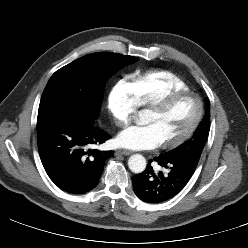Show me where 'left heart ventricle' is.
I'll return each mask as SVG.
<instances>
[{"label": "left heart ventricle", "mask_w": 248, "mask_h": 248, "mask_svg": "<svg viewBox=\"0 0 248 248\" xmlns=\"http://www.w3.org/2000/svg\"><path fill=\"white\" fill-rule=\"evenodd\" d=\"M197 112V103L192 97L176 100L164 111L147 110L145 124L152 125L161 142L179 137L191 125Z\"/></svg>", "instance_id": "obj_1"}]
</instances>
